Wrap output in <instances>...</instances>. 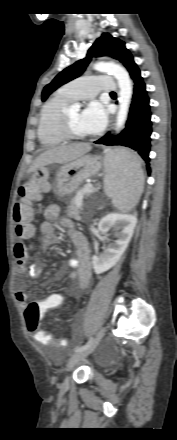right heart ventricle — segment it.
I'll use <instances>...</instances> for the list:
<instances>
[{"label": "right heart ventricle", "instance_id": "e07e8e85", "mask_svg": "<svg viewBox=\"0 0 177 440\" xmlns=\"http://www.w3.org/2000/svg\"><path fill=\"white\" fill-rule=\"evenodd\" d=\"M74 98L63 88L54 93L44 104L38 122V139L43 147L50 148L65 142L59 130L60 116Z\"/></svg>", "mask_w": 177, "mask_h": 440}]
</instances>
